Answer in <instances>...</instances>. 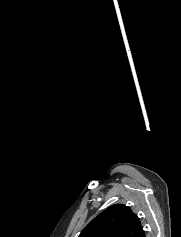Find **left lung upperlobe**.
<instances>
[{
  "mask_svg": "<svg viewBox=\"0 0 181 237\" xmlns=\"http://www.w3.org/2000/svg\"><path fill=\"white\" fill-rule=\"evenodd\" d=\"M139 218L123 204L108 207L96 216L79 237H143Z\"/></svg>",
  "mask_w": 181,
  "mask_h": 237,
  "instance_id": "left-lung-upper-lobe-1",
  "label": "left lung upper lobe"
}]
</instances>
